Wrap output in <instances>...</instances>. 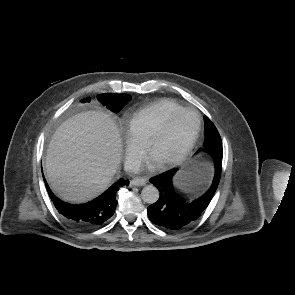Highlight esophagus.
I'll return each instance as SVG.
<instances>
[{"label":"esophagus","mask_w":295,"mask_h":295,"mask_svg":"<svg viewBox=\"0 0 295 295\" xmlns=\"http://www.w3.org/2000/svg\"><path fill=\"white\" fill-rule=\"evenodd\" d=\"M131 185L134 186H144L146 184V179L144 178H134L133 180H131Z\"/></svg>","instance_id":"1"}]
</instances>
